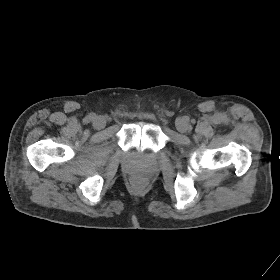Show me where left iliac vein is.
Returning <instances> with one entry per match:
<instances>
[{
  "label": "left iliac vein",
  "instance_id": "obj_1",
  "mask_svg": "<svg viewBox=\"0 0 280 280\" xmlns=\"http://www.w3.org/2000/svg\"><path fill=\"white\" fill-rule=\"evenodd\" d=\"M176 129L181 132L185 133L188 130V123L184 118H178L175 122Z\"/></svg>",
  "mask_w": 280,
  "mask_h": 280
}]
</instances>
